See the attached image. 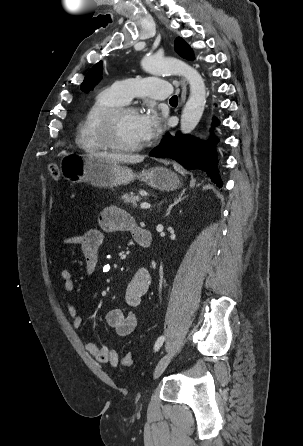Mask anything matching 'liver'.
I'll return each instance as SVG.
<instances>
[{
    "label": "liver",
    "mask_w": 303,
    "mask_h": 446,
    "mask_svg": "<svg viewBox=\"0 0 303 446\" xmlns=\"http://www.w3.org/2000/svg\"><path fill=\"white\" fill-rule=\"evenodd\" d=\"M90 158L111 163H140L144 160L142 155L115 154L106 152H92L88 155Z\"/></svg>",
    "instance_id": "liver-1"
}]
</instances>
